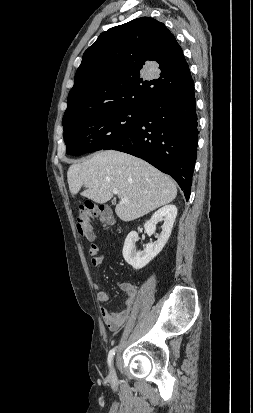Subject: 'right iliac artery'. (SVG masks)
Returning a JSON list of instances; mask_svg holds the SVG:
<instances>
[{"instance_id": "82829eb1", "label": "right iliac artery", "mask_w": 253, "mask_h": 413, "mask_svg": "<svg viewBox=\"0 0 253 413\" xmlns=\"http://www.w3.org/2000/svg\"><path fill=\"white\" fill-rule=\"evenodd\" d=\"M115 352H116V347L111 349L109 354H108V365H109V367H111V365H112V360H113V357L115 355Z\"/></svg>"}]
</instances>
